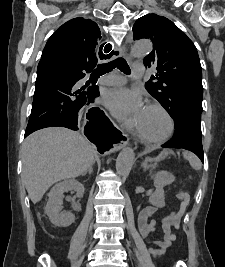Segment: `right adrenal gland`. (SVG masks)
Instances as JSON below:
<instances>
[{
    "label": "right adrenal gland",
    "instance_id": "2a0ac1e0",
    "mask_svg": "<svg viewBox=\"0 0 225 267\" xmlns=\"http://www.w3.org/2000/svg\"><path fill=\"white\" fill-rule=\"evenodd\" d=\"M95 164V160H94V162H93V164L89 167V169L83 174V176H85L87 173L88 174H92V172H93V165Z\"/></svg>",
    "mask_w": 225,
    "mask_h": 267
}]
</instances>
